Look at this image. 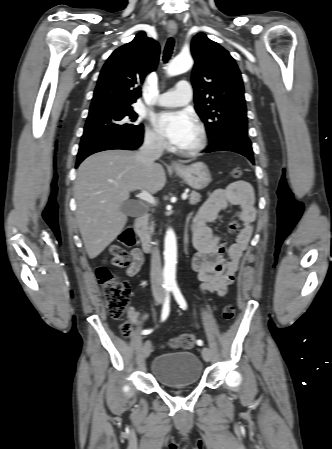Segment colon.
<instances>
[{
	"instance_id": "1",
	"label": "colon",
	"mask_w": 332,
	"mask_h": 449,
	"mask_svg": "<svg viewBox=\"0 0 332 449\" xmlns=\"http://www.w3.org/2000/svg\"><path fill=\"white\" fill-rule=\"evenodd\" d=\"M243 175V170L240 166H235L230 171V176L234 179H239ZM135 234L131 228H126L120 235V241L126 246H131L135 243ZM111 262L115 266H124L128 260L125 256L124 249L119 246L111 248ZM99 283L102 286L103 295L106 301L109 315L113 319L122 320L121 333L127 337L131 333V325L126 321V311L130 300V285L127 281L119 280L103 263L96 271ZM235 315V308L232 305H227L223 309V318L231 320ZM194 337L191 334H181L170 342L173 348L190 349L194 345Z\"/></svg>"
}]
</instances>
